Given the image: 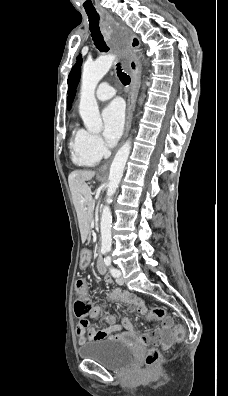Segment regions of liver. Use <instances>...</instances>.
I'll use <instances>...</instances> for the list:
<instances>
[{"label":"liver","mask_w":228,"mask_h":396,"mask_svg":"<svg viewBox=\"0 0 228 396\" xmlns=\"http://www.w3.org/2000/svg\"><path fill=\"white\" fill-rule=\"evenodd\" d=\"M94 175V171L77 170L68 176L73 204L81 227L82 240H85V226L89 218L91 219L93 211L92 194L86 181L91 180Z\"/></svg>","instance_id":"obj_1"}]
</instances>
